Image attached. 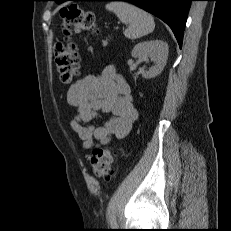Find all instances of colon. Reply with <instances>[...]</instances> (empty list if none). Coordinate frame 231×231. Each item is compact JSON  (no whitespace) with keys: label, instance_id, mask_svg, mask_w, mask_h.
Instances as JSON below:
<instances>
[{"label":"colon","instance_id":"obj_1","mask_svg":"<svg viewBox=\"0 0 231 231\" xmlns=\"http://www.w3.org/2000/svg\"><path fill=\"white\" fill-rule=\"evenodd\" d=\"M60 15L62 28L66 36L65 42H59L55 47V62L64 84L71 83L77 76L80 68V56L76 46L69 42V35L80 31H97L95 17L92 13L77 4L64 6ZM113 162V153L108 148H95L90 157L91 169L96 177H106Z\"/></svg>","mask_w":231,"mask_h":231}]
</instances>
